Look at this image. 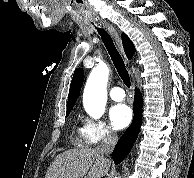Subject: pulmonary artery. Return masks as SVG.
<instances>
[{
  "label": "pulmonary artery",
  "mask_w": 194,
  "mask_h": 178,
  "mask_svg": "<svg viewBox=\"0 0 194 178\" xmlns=\"http://www.w3.org/2000/svg\"><path fill=\"white\" fill-rule=\"evenodd\" d=\"M109 96L114 101H122L125 98V92L121 87H113L109 91Z\"/></svg>",
  "instance_id": "obj_1"
}]
</instances>
